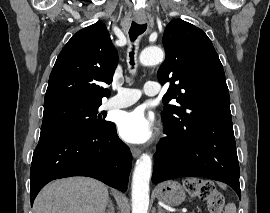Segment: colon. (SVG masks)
Segmentation results:
<instances>
[{
	"label": "colon",
	"mask_w": 270,
	"mask_h": 213,
	"mask_svg": "<svg viewBox=\"0 0 270 213\" xmlns=\"http://www.w3.org/2000/svg\"><path fill=\"white\" fill-rule=\"evenodd\" d=\"M187 193L206 202L209 213H221L225 199L220 190L206 179L191 178L185 183Z\"/></svg>",
	"instance_id": "1"
}]
</instances>
